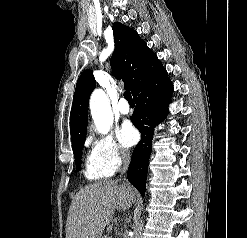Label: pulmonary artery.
I'll use <instances>...</instances> for the list:
<instances>
[{
	"mask_svg": "<svg viewBox=\"0 0 247 238\" xmlns=\"http://www.w3.org/2000/svg\"><path fill=\"white\" fill-rule=\"evenodd\" d=\"M117 110L123 115H126L130 112V106L124 98L119 100Z\"/></svg>",
	"mask_w": 247,
	"mask_h": 238,
	"instance_id": "pulmonary-artery-1",
	"label": "pulmonary artery"
}]
</instances>
